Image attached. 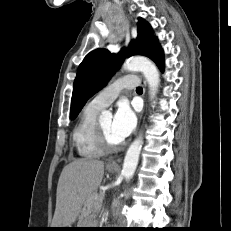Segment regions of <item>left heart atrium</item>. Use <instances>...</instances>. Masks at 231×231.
<instances>
[{"label":"left heart atrium","mask_w":231,"mask_h":231,"mask_svg":"<svg viewBox=\"0 0 231 231\" xmlns=\"http://www.w3.org/2000/svg\"><path fill=\"white\" fill-rule=\"evenodd\" d=\"M136 126V115L126 103L119 104L112 121V133L120 143L124 141Z\"/></svg>","instance_id":"39dd6f15"}]
</instances>
